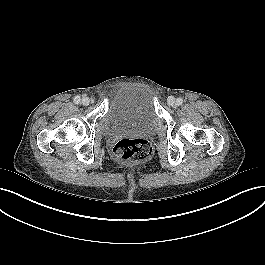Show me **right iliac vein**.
Returning a JSON list of instances; mask_svg holds the SVG:
<instances>
[{
  "instance_id": "1",
  "label": "right iliac vein",
  "mask_w": 265,
  "mask_h": 265,
  "mask_svg": "<svg viewBox=\"0 0 265 265\" xmlns=\"http://www.w3.org/2000/svg\"><path fill=\"white\" fill-rule=\"evenodd\" d=\"M91 103V100L88 97H83L82 98V104L84 106H88Z\"/></svg>"
}]
</instances>
